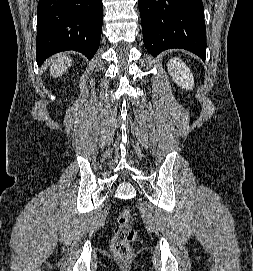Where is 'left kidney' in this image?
<instances>
[{
	"instance_id": "5707ae66",
	"label": "left kidney",
	"mask_w": 253,
	"mask_h": 271,
	"mask_svg": "<svg viewBox=\"0 0 253 271\" xmlns=\"http://www.w3.org/2000/svg\"><path fill=\"white\" fill-rule=\"evenodd\" d=\"M167 70L172 80L181 88L192 90L194 86V77L185 63L177 58H171L167 65Z\"/></svg>"
}]
</instances>
